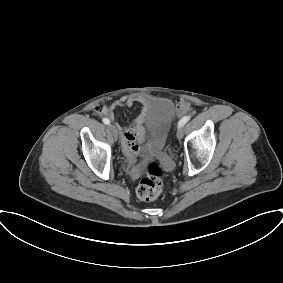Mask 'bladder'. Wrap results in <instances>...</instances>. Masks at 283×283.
I'll return each instance as SVG.
<instances>
[{
	"label": "bladder",
	"mask_w": 283,
	"mask_h": 283,
	"mask_svg": "<svg viewBox=\"0 0 283 283\" xmlns=\"http://www.w3.org/2000/svg\"><path fill=\"white\" fill-rule=\"evenodd\" d=\"M174 113V106L170 100H163L157 108L150 112L147 123L150 127H157L167 124Z\"/></svg>",
	"instance_id": "31cf9c89"
}]
</instances>
